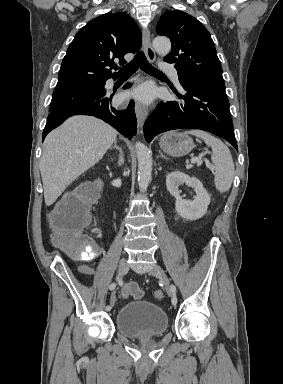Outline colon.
<instances>
[{"mask_svg": "<svg viewBox=\"0 0 283 384\" xmlns=\"http://www.w3.org/2000/svg\"><path fill=\"white\" fill-rule=\"evenodd\" d=\"M93 199V190L89 186L81 187L69 193L49 217L56 243L71 257L80 260H91L97 253L94 243L83 232L90 221ZM123 294L138 299L142 297V290L137 285H126ZM153 295L157 300L164 297L161 290H156Z\"/></svg>", "mask_w": 283, "mask_h": 384, "instance_id": "1", "label": "colon"}]
</instances>
